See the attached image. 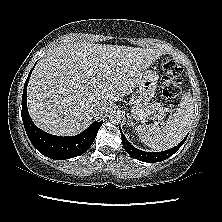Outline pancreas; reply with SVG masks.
<instances>
[{"label": "pancreas", "mask_w": 222, "mask_h": 222, "mask_svg": "<svg viewBox=\"0 0 222 222\" xmlns=\"http://www.w3.org/2000/svg\"><path fill=\"white\" fill-rule=\"evenodd\" d=\"M131 103L134 105L135 110L144 113L146 118L156 119L157 116H165L164 109L159 107V105H153L146 101H141L137 96H132Z\"/></svg>", "instance_id": "obj_1"}]
</instances>
